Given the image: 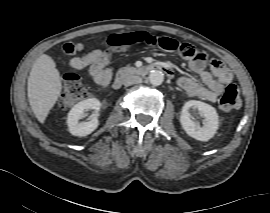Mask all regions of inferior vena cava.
<instances>
[{
    "label": "inferior vena cava",
    "mask_w": 270,
    "mask_h": 213,
    "mask_svg": "<svg viewBox=\"0 0 270 213\" xmlns=\"http://www.w3.org/2000/svg\"><path fill=\"white\" fill-rule=\"evenodd\" d=\"M141 81H142L141 77L136 76V75H130V76H127L126 78H124L123 84L125 86H130V85H133V84L141 83Z\"/></svg>",
    "instance_id": "obj_1"
}]
</instances>
